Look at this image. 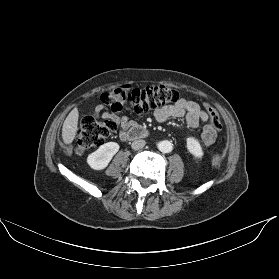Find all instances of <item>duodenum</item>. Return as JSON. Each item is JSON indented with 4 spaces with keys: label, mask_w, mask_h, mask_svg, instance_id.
Here are the masks:
<instances>
[{
    "label": "duodenum",
    "mask_w": 279,
    "mask_h": 279,
    "mask_svg": "<svg viewBox=\"0 0 279 279\" xmlns=\"http://www.w3.org/2000/svg\"><path fill=\"white\" fill-rule=\"evenodd\" d=\"M150 135V132L141 126H133L132 128L123 132L124 139L136 140L146 138Z\"/></svg>",
    "instance_id": "obj_1"
}]
</instances>
